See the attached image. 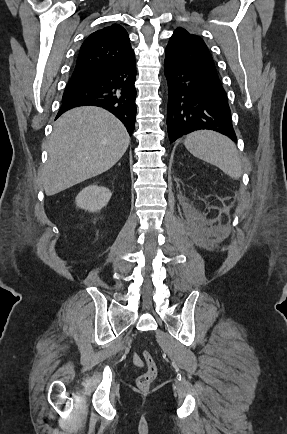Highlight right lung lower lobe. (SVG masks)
Segmentation results:
<instances>
[{"label":"right lung lower lobe","mask_w":287,"mask_h":434,"mask_svg":"<svg viewBox=\"0 0 287 434\" xmlns=\"http://www.w3.org/2000/svg\"><path fill=\"white\" fill-rule=\"evenodd\" d=\"M135 79V57L122 62L75 70L64 91L57 117L77 106H99L120 119L131 135L136 117Z\"/></svg>","instance_id":"1"}]
</instances>
